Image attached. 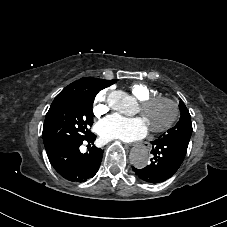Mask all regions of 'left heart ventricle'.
I'll return each instance as SVG.
<instances>
[{"label": "left heart ventricle", "instance_id": "1", "mask_svg": "<svg viewBox=\"0 0 227 227\" xmlns=\"http://www.w3.org/2000/svg\"><path fill=\"white\" fill-rule=\"evenodd\" d=\"M172 113V107L167 102H159L140 114L148 127H160L164 125Z\"/></svg>", "mask_w": 227, "mask_h": 227}]
</instances>
